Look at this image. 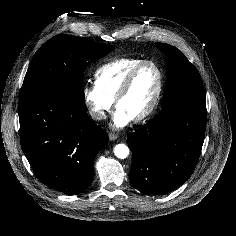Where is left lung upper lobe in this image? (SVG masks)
Instances as JSON below:
<instances>
[{
	"label": "left lung upper lobe",
	"instance_id": "obj_1",
	"mask_svg": "<svg viewBox=\"0 0 236 236\" xmlns=\"http://www.w3.org/2000/svg\"><path fill=\"white\" fill-rule=\"evenodd\" d=\"M157 48L165 53L167 61L166 85L163 107L179 100L205 98V92L198 70L177 48L157 43Z\"/></svg>",
	"mask_w": 236,
	"mask_h": 236
}]
</instances>
